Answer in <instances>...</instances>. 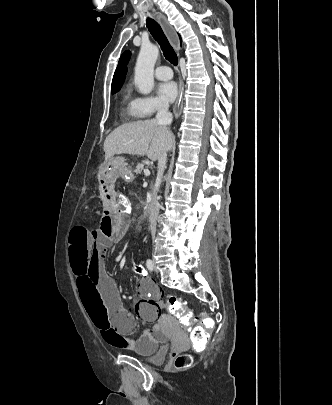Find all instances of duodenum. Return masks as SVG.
I'll return each mask as SVG.
<instances>
[{
    "label": "duodenum",
    "mask_w": 332,
    "mask_h": 405,
    "mask_svg": "<svg viewBox=\"0 0 332 405\" xmlns=\"http://www.w3.org/2000/svg\"><path fill=\"white\" fill-rule=\"evenodd\" d=\"M117 218H118V220H121V221H126L127 220V217L122 216L120 213L117 214Z\"/></svg>",
    "instance_id": "1"
}]
</instances>
